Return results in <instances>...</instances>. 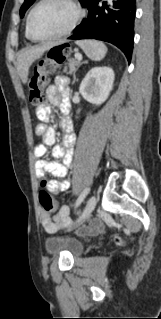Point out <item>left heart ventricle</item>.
<instances>
[{
  "label": "left heart ventricle",
  "instance_id": "1",
  "mask_svg": "<svg viewBox=\"0 0 161 319\" xmlns=\"http://www.w3.org/2000/svg\"><path fill=\"white\" fill-rule=\"evenodd\" d=\"M73 17V9L63 0H49L36 11L32 19V33L37 38L62 31Z\"/></svg>",
  "mask_w": 161,
  "mask_h": 319
}]
</instances>
